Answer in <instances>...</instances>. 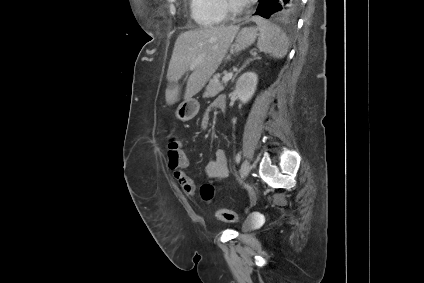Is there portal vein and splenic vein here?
Masks as SVG:
<instances>
[{"label":"portal vein and splenic vein","mask_w":424,"mask_h":283,"mask_svg":"<svg viewBox=\"0 0 424 283\" xmlns=\"http://www.w3.org/2000/svg\"><path fill=\"white\" fill-rule=\"evenodd\" d=\"M233 76V73H228L222 78L223 83H227Z\"/></svg>","instance_id":"portal-vein-and-splenic-vein-1"}]
</instances>
